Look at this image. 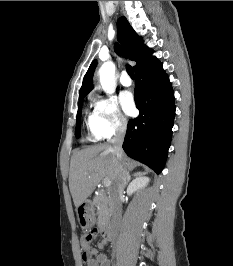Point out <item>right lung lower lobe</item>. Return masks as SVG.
Instances as JSON below:
<instances>
[{"label": "right lung lower lobe", "instance_id": "1", "mask_svg": "<svg viewBox=\"0 0 233 266\" xmlns=\"http://www.w3.org/2000/svg\"><path fill=\"white\" fill-rule=\"evenodd\" d=\"M139 116L128 122L126 154L159 174L165 164L175 117L174 92L162 63L155 57L135 71Z\"/></svg>", "mask_w": 233, "mask_h": 266}]
</instances>
